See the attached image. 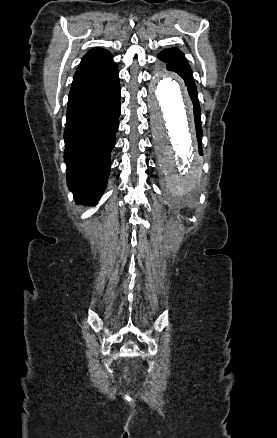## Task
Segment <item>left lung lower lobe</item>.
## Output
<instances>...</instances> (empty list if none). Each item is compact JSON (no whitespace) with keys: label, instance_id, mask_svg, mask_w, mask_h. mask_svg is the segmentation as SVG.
Masks as SVG:
<instances>
[{"label":"left lung lower lobe","instance_id":"obj_1","mask_svg":"<svg viewBox=\"0 0 277 438\" xmlns=\"http://www.w3.org/2000/svg\"><path fill=\"white\" fill-rule=\"evenodd\" d=\"M195 124H196V131H197L198 142H199V146H200V154H202V153H201V137H202V130H201V119H200V114H195Z\"/></svg>","mask_w":277,"mask_h":438}]
</instances>
